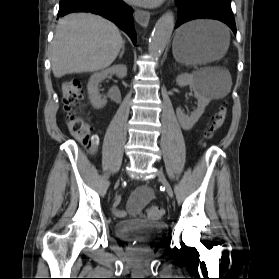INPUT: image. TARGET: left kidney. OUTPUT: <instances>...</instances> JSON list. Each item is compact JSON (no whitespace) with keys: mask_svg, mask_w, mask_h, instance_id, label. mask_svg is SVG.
I'll return each instance as SVG.
<instances>
[{"mask_svg":"<svg viewBox=\"0 0 279 279\" xmlns=\"http://www.w3.org/2000/svg\"><path fill=\"white\" fill-rule=\"evenodd\" d=\"M176 83L179 87L190 85L193 88L195 97L198 100L197 109L194 110L190 116L185 115L181 108H177L176 110L177 118L182 129L190 130L202 116L205 107L210 103L211 99L202 92L201 79L195 74H181L177 76Z\"/></svg>","mask_w":279,"mask_h":279,"instance_id":"5707ae66","label":"left kidney"}]
</instances>
